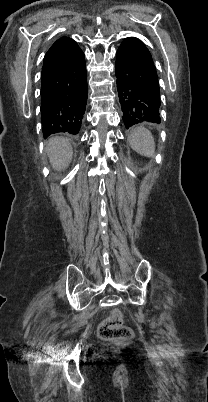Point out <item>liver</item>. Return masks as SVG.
<instances>
[{
	"mask_svg": "<svg viewBox=\"0 0 208 402\" xmlns=\"http://www.w3.org/2000/svg\"><path fill=\"white\" fill-rule=\"evenodd\" d=\"M50 164L54 170H64L72 160V146L67 138H51L46 148Z\"/></svg>",
	"mask_w": 208,
	"mask_h": 402,
	"instance_id": "obj_1",
	"label": "liver"
}]
</instances>
